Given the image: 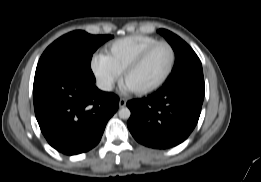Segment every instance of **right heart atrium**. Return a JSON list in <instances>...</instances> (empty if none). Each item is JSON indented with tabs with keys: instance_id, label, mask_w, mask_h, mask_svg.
<instances>
[{
	"instance_id": "d8ad5b80",
	"label": "right heart atrium",
	"mask_w": 261,
	"mask_h": 182,
	"mask_svg": "<svg viewBox=\"0 0 261 182\" xmlns=\"http://www.w3.org/2000/svg\"><path fill=\"white\" fill-rule=\"evenodd\" d=\"M91 70L97 85L104 91H110L120 79V73L111 64L107 55L95 53L91 59Z\"/></svg>"
}]
</instances>
